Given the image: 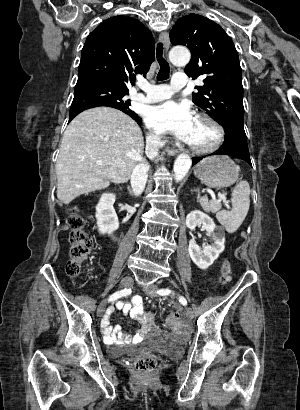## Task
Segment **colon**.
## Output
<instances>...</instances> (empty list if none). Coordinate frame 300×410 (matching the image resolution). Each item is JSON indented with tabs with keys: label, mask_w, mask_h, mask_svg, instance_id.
I'll list each match as a JSON object with an SVG mask.
<instances>
[{
	"label": "colon",
	"mask_w": 300,
	"mask_h": 410,
	"mask_svg": "<svg viewBox=\"0 0 300 410\" xmlns=\"http://www.w3.org/2000/svg\"><path fill=\"white\" fill-rule=\"evenodd\" d=\"M67 224L70 228L69 233V260L66 265L67 274L77 279L82 274V267L88 257L91 247V239L85 228V221L79 214L77 208L73 207L68 212ZM230 279V269L227 262H224L220 281L226 284ZM178 322L177 314H170L167 318L169 326ZM136 370L142 375L151 374L156 367V359L152 356H141L134 362Z\"/></svg>",
	"instance_id": "obj_1"
}]
</instances>
